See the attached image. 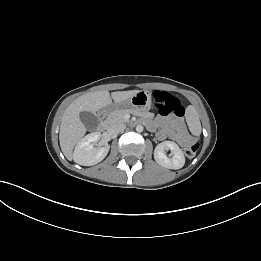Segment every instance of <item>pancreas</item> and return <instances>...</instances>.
Segmentation results:
<instances>
[{
	"label": "pancreas",
	"mask_w": 261,
	"mask_h": 261,
	"mask_svg": "<svg viewBox=\"0 0 261 261\" xmlns=\"http://www.w3.org/2000/svg\"><path fill=\"white\" fill-rule=\"evenodd\" d=\"M127 114L143 115L142 111L135 108L120 109L112 112L107 117L105 122L107 123L108 126H111L116 123L128 122L129 119L125 117Z\"/></svg>",
	"instance_id": "obj_1"
}]
</instances>
